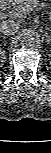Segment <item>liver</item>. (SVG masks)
<instances>
[{
  "label": "liver",
  "instance_id": "obj_1",
  "mask_svg": "<svg viewBox=\"0 0 51 153\" xmlns=\"http://www.w3.org/2000/svg\"><path fill=\"white\" fill-rule=\"evenodd\" d=\"M1 4L15 2V0H1Z\"/></svg>",
  "mask_w": 51,
  "mask_h": 153
}]
</instances>
